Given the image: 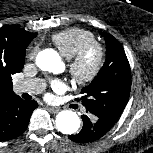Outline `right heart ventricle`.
<instances>
[{
    "mask_svg": "<svg viewBox=\"0 0 153 153\" xmlns=\"http://www.w3.org/2000/svg\"><path fill=\"white\" fill-rule=\"evenodd\" d=\"M51 40L62 56L70 59L84 44L95 40V36L89 30L73 27L53 34Z\"/></svg>",
    "mask_w": 153,
    "mask_h": 153,
    "instance_id": "right-heart-ventricle-1",
    "label": "right heart ventricle"
}]
</instances>
